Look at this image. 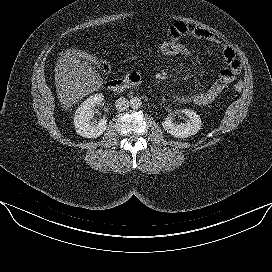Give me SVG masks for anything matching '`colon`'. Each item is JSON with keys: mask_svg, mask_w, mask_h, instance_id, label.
<instances>
[{"mask_svg": "<svg viewBox=\"0 0 272 272\" xmlns=\"http://www.w3.org/2000/svg\"><path fill=\"white\" fill-rule=\"evenodd\" d=\"M156 51L164 58L168 59H181L189 55L190 49L187 44L183 43L180 39L168 38L162 40L156 44ZM68 55L77 58L81 61H87L93 63L102 72H108L110 70V65L104 61L99 60L91 53L79 49L68 50ZM243 89V83L237 82L234 85L235 92H241Z\"/></svg>", "mask_w": 272, "mask_h": 272, "instance_id": "5ec220e1", "label": "colon"}]
</instances>
